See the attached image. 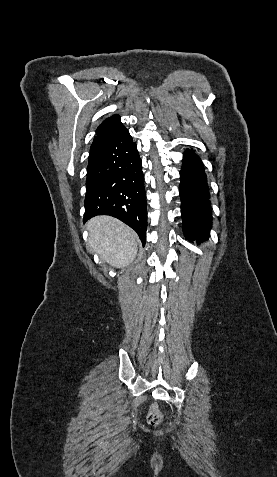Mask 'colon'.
<instances>
[{
    "label": "colon",
    "mask_w": 277,
    "mask_h": 477,
    "mask_svg": "<svg viewBox=\"0 0 277 477\" xmlns=\"http://www.w3.org/2000/svg\"><path fill=\"white\" fill-rule=\"evenodd\" d=\"M162 413L156 405H152L149 409L147 420L149 424L156 426L162 421Z\"/></svg>",
    "instance_id": "1"
}]
</instances>
